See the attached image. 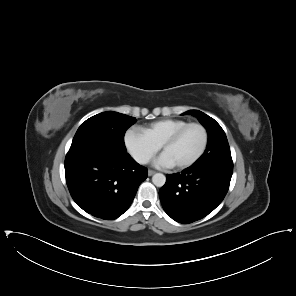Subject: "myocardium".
Returning <instances> with one entry per match:
<instances>
[{
  "mask_svg": "<svg viewBox=\"0 0 296 296\" xmlns=\"http://www.w3.org/2000/svg\"><path fill=\"white\" fill-rule=\"evenodd\" d=\"M190 127H198L202 130L203 132V144L200 148V150L198 151V153L191 158L188 161L182 162V163H178L175 164L174 166L177 168H186L189 167L193 164H195L205 153L207 145H208V133L207 130L205 129V127L200 124V123H188L187 125H185L184 127H182L181 129H179L177 132H175L174 134H172L167 140L166 142L163 144L162 146V151L165 152L166 149L171 146L172 144H174L179 138L180 136Z\"/></svg>",
  "mask_w": 296,
  "mask_h": 296,
  "instance_id": "f54148a6",
  "label": "myocardium"
}]
</instances>
